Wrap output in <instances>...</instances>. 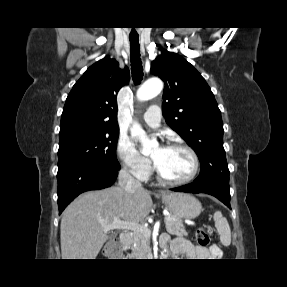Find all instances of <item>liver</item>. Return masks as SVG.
Returning a JSON list of instances; mask_svg holds the SVG:
<instances>
[{
    "label": "liver",
    "instance_id": "6515ba94",
    "mask_svg": "<svg viewBox=\"0 0 287 287\" xmlns=\"http://www.w3.org/2000/svg\"><path fill=\"white\" fill-rule=\"evenodd\" d=\"M152 205L151 193L144 189L128 194L122 187L113 186L80 195L61 219L62 259H96L108 239L104 225L115 218L141 223Z\"/></svg>",
    "mask_w": 287,
    "mask_h": 287
}]
</instances>
